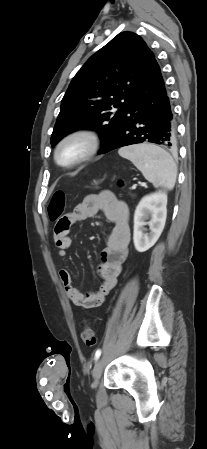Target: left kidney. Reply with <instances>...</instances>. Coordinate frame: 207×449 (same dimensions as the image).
Returning <instances> with one entry per match:
<instances>
[{
    "mask_svg": "<svg viewBox=\"0 0 207 449\" xmlns=\"http://www.w3.org/2000/svg\"><path fill=\"white\" fill-rule=\"evenodd\" d=\"M167 194L156 192L141 199L134 213L133 241L138 252H145L159 239L167 217ZM150 218V221L147 220ZM149 225L150 232L144 233Z\"/></svg>",
    "mask_w": 207,
    "mask_h": 449,
    "instance_id": "1",
    "label": "left kidney"
}]
</instances>
